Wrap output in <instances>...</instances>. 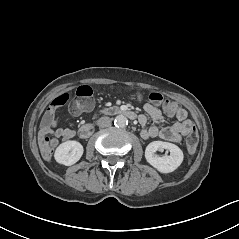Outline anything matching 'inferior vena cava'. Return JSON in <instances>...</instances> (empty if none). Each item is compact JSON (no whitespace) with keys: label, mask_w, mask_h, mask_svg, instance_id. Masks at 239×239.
<instances>
[{"label":"inferior vena cava","mask_w":239,"mask_h":239,"mask_svg":"<svg viewBox=\"0 0 239 239\" xmlns=\"http://www.w3.org/2000/svg\"><path fill=\"white\" fill-rule=\"evenodd\" d=\"M98 126L101 128H106L109 127L111 125V118L110 117H101L98 120Z\"/></svg>","instance_id":"obj_1"}]
</instances>
